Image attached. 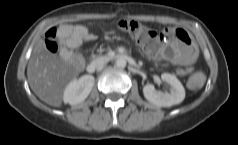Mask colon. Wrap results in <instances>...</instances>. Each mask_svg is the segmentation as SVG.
I'll return each mask as SVG.
<instances>
[{"instance_id":"obj_1","label":"colon","mask_w":238,"mask_h":145,"mask_svg":"<svg viewBox=\"0 0 238 145\" xmlns=\"http://www.w3.org/2000/svg\"><path fill=\"white\" fill-rule=\"evenodd\" d=\"M118 29L132 35L142 49L152 58H158L165 39L162 31L155 30L133 20H120L117 23ZM45 44L50 52L58 49L57 31L50 29L45 36ZM205 77L202 73H195L189 79L191 89H199L203 86Z\"/></svg>"}]
</instances>
